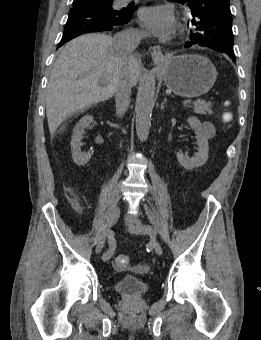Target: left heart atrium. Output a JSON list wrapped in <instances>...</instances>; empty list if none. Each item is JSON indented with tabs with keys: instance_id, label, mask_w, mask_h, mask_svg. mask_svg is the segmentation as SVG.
<instances>
[{
	"instance_id": "left-heart-atrium-1",
	"label": "left heart atrium",
	"mask_w": 261,
	"mask_h": 340,
	"mask_svg": "<svg viewBox=\"0 0 261 340\" xmlns=\"http://www.w3.org/2000/svg\"><path fill=\"white\" fill-rule=\"evenodd\" d=\"M139 20L153 36L169 37L175 30V20L171 11L164 6L147 7L141 10Z\"/></svg>"
}]
</instances>
